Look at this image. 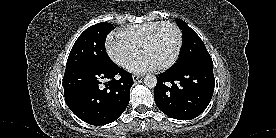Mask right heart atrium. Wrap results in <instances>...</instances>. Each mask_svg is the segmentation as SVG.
<instances>
[{
  "instance_id": "1",
  "label": "right heart atrium",
  "mask_w": 276,
  "mask_h": 138,
  "mask_svg": "<svg viewBox=\"0 0 276 138\" xmlns=\"http://www.w3.org/2000/svg\"><path fill=\"white\" fill-rule=\"evenodd\" d=\"M106 50L113 62L128 67L139 53V48L120 35H110L106 40Z\"/></svg>"
}]
</instances>
